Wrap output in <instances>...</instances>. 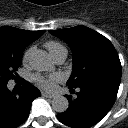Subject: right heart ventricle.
<instances>
[{"mask_svg": "<svg viewBox=\"0 0 128 128\" xmlns=\"http://www.w3.org/2000/svg\"><path fill=\"white\" fill-rule=\"evenodd\" d=\"M51 56L54 58L62 51H67L66 48L57 41H48L45 44Z\"/></svg>", "mask_w": 128, "mask_h": 128, "instance_id": "1", "label": "right heart ventricle"}]
</instances>
